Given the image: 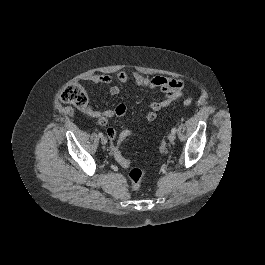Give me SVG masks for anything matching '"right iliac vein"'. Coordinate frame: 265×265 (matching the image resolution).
I'll list each match as a JSON object with an SVG mask.
<instances>
[{
    "label": "right iliac vein",
    "instance_id": "1",
    "mask_svg": "<svg viewBox=\"0 0 265 265\" xmlns=\"http://www.w3.org/2000/svg\"><path fill=\"white\" fill-rule=\"evenodd\" d=\"M101 144H103V145L107 144V138L106 137L101 138Z\"/></svg>",
    "mask_w": 265,
    "mask_h": 265
}]
</instances>
